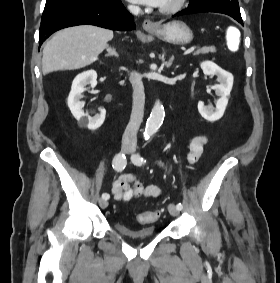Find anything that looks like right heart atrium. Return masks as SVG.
I'll return each mask as SVG.
<instances>
[{
  "instance_id": "1",
  "label": "right heart atrium",
  "mask_w": 280,
  "mask_h": 283,
  "mask_svg": "<svg viewBox=\"0 0 280 283\" xmlns=\"http://www.w3.org/2000/svg\"><path fill=\"white\" fill-rule=\"evenodd\" d=\"M130 9H131L132 11H136V10H137V8H136L135 6H130Z\"/></svg>"
}]
</instances>
